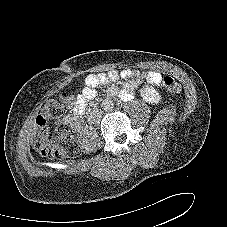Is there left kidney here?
<instances>
[{
	"label": "left kidney",
	"instance_id": "obj_1",
	"mask_svg": "<svg viewBox=\"0 0 227 227\" xmlns=\"http://www.w3.org/2000/svg\"><path fill=\"white\" fill-rule=\"evenodd\" d=\"M142 99L151 104H157L161 101V95L152 86L143 87L140 91Z\"/></svg>",
	"mask_w": 227,
	"mask_h": 227
}]
</instances>
